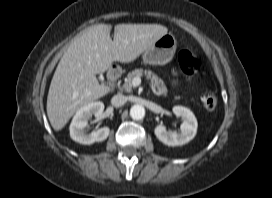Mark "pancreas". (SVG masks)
I'll return each instance as SVG.
<instances>
[{"label": "pancreas", "instance_id": "pancreas-1", "mask_svg": "<svg viewBox=\"0 0 272 198\" xmlns=\"http://www.w3.org/2000/svg\"><path fill=\"white\" fill-rule=\"evenodd\" d=\"M145 76L148 80L151 81L152 87L155 89L156 94L158 95H167V87L165 86L162 79H160L155 73L151 70H143L142 68L135 69L132 72H129L125 80L123 88L127 92L132 91V80L135 77Z\"/></svg>", "mask_w": 272, "mask_h": 198}]
</instances>
